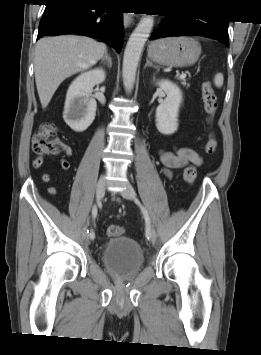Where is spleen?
I'll list each match as a JSON object with an SVG mask.
<instances>
[{
	"mask_svg": "<svg viewBox=\"0 0 261 355\" xmlns=\"http://www.w3.org/2000/svg\"><path fill=\"white\" fill-rule=\"evenodd\" d=\"M224 77L222 73H217L214 77V84L216 87L220 88L223 85Z\"/></svg>",
	"mask_w": 261,
	"mask_h": 355,
	"instance_id": "1",
	"label": "spleen"
}]
</instances>
